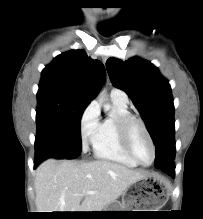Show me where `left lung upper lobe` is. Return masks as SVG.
Instances as JSON below:
<instances>
[{"label": "left lung upper lobe", "mask_w": 203, "mask_h": 219, "mask_svg": "<svg viewBox=\"0 0 203 219\" xmlns=\"http://www.w3.org/2000/svg\"><path fill=\"white\" fill-rule=\"evenodd\" d=\"M106 65L113 85L129 95L145 121L156 149L155 165L175 159L174 104L168 80L139 57L125 62L110 58Z\"/></svg>", "instance_id": "5c2ea615"}]
</instances>
